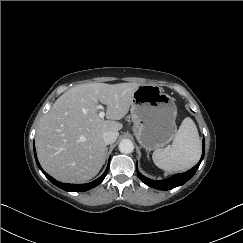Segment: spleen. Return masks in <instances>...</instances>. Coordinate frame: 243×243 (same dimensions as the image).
<instances>
[{
  "label": "spleen",
  "instance_id": "3e777b00",
  "mask_svg": "<svg viewBox=\"0 0 243 243\" xmlns=\"http://www.w3.org/2000/svg\"><path fill=\"white\" fill-rule=\"evenodd\" d=\"M200 156L198 130L193 120L187 117L182 121L171 147L155 150L152 159L160 169L186 171L198 162Z\"/></svg>",
  "mask_w": 243,
  "mask_h": 243
}]
</instances>
